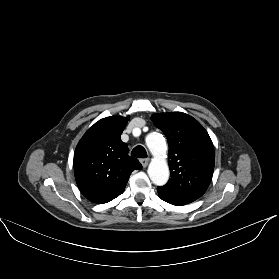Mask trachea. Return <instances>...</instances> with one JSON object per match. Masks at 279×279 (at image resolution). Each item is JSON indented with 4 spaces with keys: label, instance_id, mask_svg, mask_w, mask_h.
<instances>
[{
    "label": "trachea",
    "instance_id": "1",
    "mask_svg": "<svg viewBox=\"0 0 279 279\" xmlns=\"http://www.w3.org/2000/svg\"><path fill=\"white\" fill-rule=\"evenodd\" d=\"M131 155L137 158H147V152L143 146H136L132 152Z\"/></svg>",
    "mask_w": 279,
    "mask_h": 279
}]
</instances>
